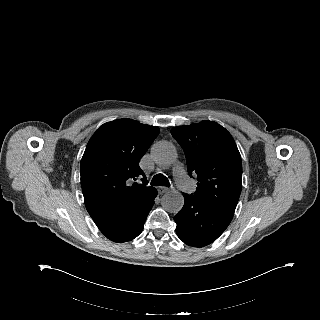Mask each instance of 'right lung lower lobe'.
Instances as JSON below:
<instances>
[{
  "instance_id": "obj_1",
  "label": "right lung lower lobe",
  "mask_w": 320,
  "mask_h": 320,
  "mask_svg": "<svg viewBox=\"0 0 320 320\" xmlns=\"http://www.w3.org/2000/svg\"><path fill=\"white\" fill-rule=\"evenodd\" d=\"M155 190L143 204L119 215L95 222L99 230L111 241L126 242L136 238L144 227V222L154 205Z\"/></svg>"
}]
</instances>
